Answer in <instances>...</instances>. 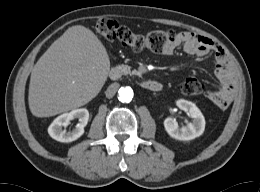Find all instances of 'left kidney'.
Instances as JSON below:
<instances>
[{
	"label": "left kidney",
	"instance_id": "obj_1",
	"mask_svg": "<svg viewBox=\"0 0 260 192\" xmlns=\"http://www.w3.org/2000/svg\"><path fill=\"white\" fill-rule=\"evenodd\" d=\"M176 105L193 119L191 123L186 126L179 127L174 118L167 117L164 120V127L166 132L176 140H192L203 134L205 130V118L200 109L192 102L179 99Z\"/></svg>",
	"mask_w": 260,
	"mask_h": 192
}]
</instances>
